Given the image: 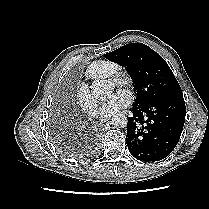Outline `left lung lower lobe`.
I'll return each mask as SVG.
<instances>
[{
    "label": "left lung lower lobe",
    "instance_id": "left-lung-lower-lobe-1",
    "mask_svg": "<svg viewBox=\"0 0 209 209\" xmlns=\"http://www.w3.org/2000/svg\"><path fill=\"white\" fill-rule=\"evenodd\" d=\"M185 115L183 94L133 106L126 136L130 153L144 162L166 158L180 139Z\"/></svg>",
    "mask_w": 209,
    "mask_h": 209
}]
</instances>
